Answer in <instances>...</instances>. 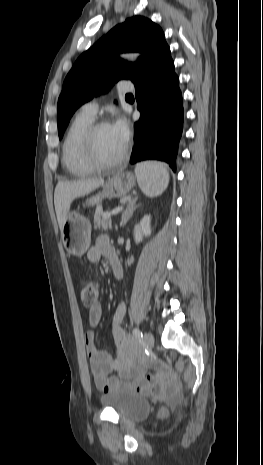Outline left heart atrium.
Segmentation results:
<instances>
[{"label":"left heart atrium","instance_id":"obj_1","mask_svg":"<svg viewBox=\"0 0 263 465\" xmlns=\"http://www.w3.org/2000/svg\"><path fill=\"white\" fill-rule=\"evenodd\" d=\"M114 133L120 139V141L126 145L129 139L130 131L127 121L123 117H119L111 125Z\"/></svg>","mask_w":263,"mask_h":465}]
</instances>
